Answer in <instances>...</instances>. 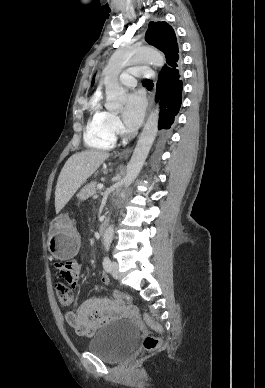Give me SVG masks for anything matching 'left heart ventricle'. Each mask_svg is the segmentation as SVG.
<instances>
[{
	"instance_id": "b2bd125f",
	"label": "left heart ventricle",
	"mask_w": 265,
	"mask_h": 388,
	"mask_svg": "<svg viewBox=\"0 0 265 388\" xmlns=\"http://www.w3.org/2000/svg\"><path fill=\"white\" fill-rule=\"evenodd\" d=\"M120 87H122V91H126V92L131 91V89L133 88V86H121V85Z\"/></svg>"
}]
</instances>
